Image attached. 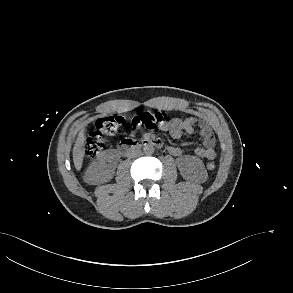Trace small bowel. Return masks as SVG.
Wrapping results in <instances>:
<instances>
[{"label":"small bowel","mask_w":293,"mask_h":293,"mask_svg":"<svg viewBox=\"0 0 293 293\" xmlns=\"http://www.w3.org/2000/svg\"><path fill=\"white\" fill-rule=\"evenodd\" d=\"M196 124H200V136L202 138L203 145L196 147L194 154L197 157L212 160L216 155L215 137L210 126L202 121V119L197 117H173L167 120L159 128L162 131L168 132L172 138L178 139L185 134H193L194 125ZM167 150L171 155L176 157L183 155V151L175 146H168Z\"/></svg>","instance_id":"c3829d8e"}]
</instances>
